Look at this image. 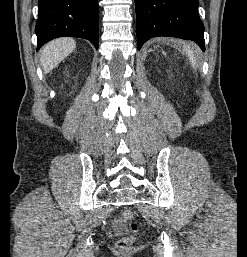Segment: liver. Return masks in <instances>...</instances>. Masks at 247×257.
<instances>
[{
    "mask_svg": "<svg viewBox=\"0 0 247 257\" xmlns=\"http://www.w3.org/2000/svg\"><path fill=\"white\" fill-rule=\"evenodd\" d=\"M76 48V42L72 38H59L50 41L42 50L40 62L45 74L54 69Z\"/></svg>",
    "mask_w": 247,
    "mask_h": 257,
    "instance_id": "liver-1",
    "label": "liver"
}]
</instances>
